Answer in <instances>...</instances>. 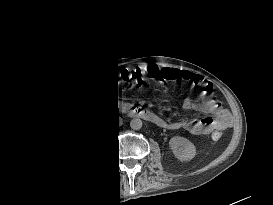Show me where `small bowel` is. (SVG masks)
Returning <instances> with one entry per match:
<instances>
[{"label":"small bowel","mask_w":273,"mask_h":205,"mask_svg":"<svg viewBox=\"0 0 273 205\" xmlns=\"http://www.w3.org/2000/svg\"><path fill=\"white\" fill-rule=\"evenodd\" d=\"M160 76H167L169 80H182L194 85L201 86L199 100L188 99L184 103L187 110H197L208 116L200 119H191L187 121L168 122L170 128L183 127L193 135L213 134L227 128L231 122V113L213 96V87L211 83L203 77L186 70L176 68H167L160 72Z\"/></svg>","instance_id":"1"}]
</instances>
